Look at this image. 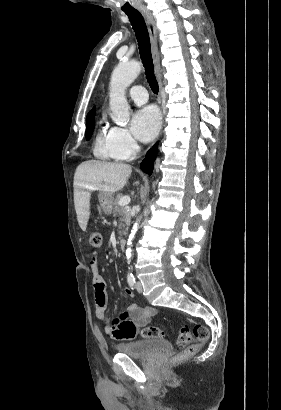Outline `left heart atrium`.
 <instances>
[{"instance_id": "left-heart-atrium-1", "label": "left heart atrium", "mask_w": 281, "mask_h": 410, "mask_svg": "<svg viewBox=\"0 0 281 410\" xmlns=\"http://www.w3.org/2000/svg\"><path fill=\"white\" fill-rule=\"evenodd\" d=\"M160 113L154 106L138 110L132 119V131L143 142L151 141L160 128Z\"/></svg>"}]
</instances>
